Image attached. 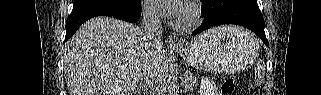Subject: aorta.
<instances>
[{"label": "aorta", "mask_w": 321, "mask_h": 95, "mask_svg": "<svg viewBox=\"0 0 321 95\" xmlns=\"http://www.w3.org/2000/svg\"><path fill=\"white\" fill-rule=\"evenodd\" d=\"M176 79L175 66L170 62L162 74L159 95H175Z\"/></svg>", "instance_id": "aorta-1"}]
</instances>
